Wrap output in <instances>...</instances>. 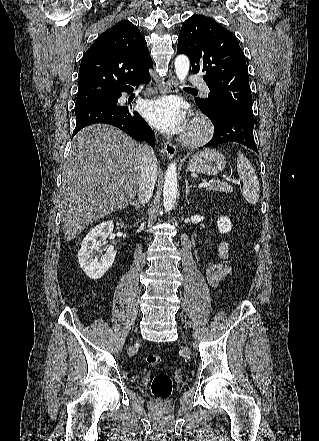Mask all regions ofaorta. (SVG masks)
Instances as JSON below:
<instances>
[{"label": "aorta", "mask_w": 319, "mask_h": 441, "mask_svg": "<svg viewBox=\"0 0 319 441\" xmlns=\"http://www.w3.org/2000/svg\"><path fill=\"white\" fill-rule=\"evenodd\" d=\"M174 65L175 73L178 79L181 83L184 82L189 72V58L186 55L180 54L176 57ZM177 191V169L176 162L173 161L169 164L164 179L163 204L166 212L171 211L174 207L177 198Z\"/></svg>", "instance_id": "1"}]
</instances>
